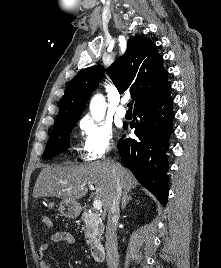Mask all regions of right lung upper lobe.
I'll return each instance as SVG.
<instances>
[{"instance_id": "obj_1", "label": "right lung upper lobe", "mask_w": 221, "mask_h": 268, "mask_svg": "<svg viewBox=\"0 0 221 268\" xmlns=\"http://www.w3.org/2000/svg\"><path fill=\"white\" fill-rule=\"evenodd\" d=\"M162 62L163 58L150 39L133 37L128 40L125 54L118 57L107 72L120 93L130 92L136 108L170 91ZM104 72L101 66H91L82 69L71 80L60 103L56 123L79 118Z\"/></svg>"}]
</instances>
